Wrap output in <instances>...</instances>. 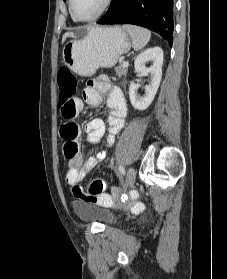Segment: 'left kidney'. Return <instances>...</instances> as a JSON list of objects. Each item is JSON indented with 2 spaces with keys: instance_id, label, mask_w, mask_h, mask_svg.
<instances>
[{
  "instance_id": "left-kidney-1",
  "label": "left kidney",
  "mask_w": 227,
  "mask_h": 279,
  "mask_svg": "<svg viewBox=\"0 0 227 279\" xmlns=\"http://www.w3.org/2000/svg\"><path fill=\"white\" fill-rule=\"evenodd\" d=\"M152 61V65L147 68L145 63ZM162 65H163V51L160 47H154L145 50L140 53L134 62V67L138 77L151 76V81L145 86V95L139 96L137 94L139 86L135 83H131L129 86V98L132 106L138 110L147 109L152 103L155 94L159 88L162 77Z\"/></svg>"
}]
</instances>
